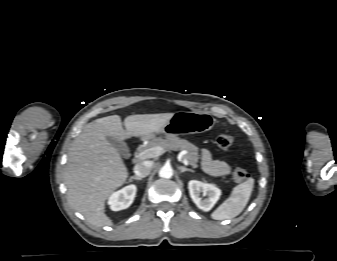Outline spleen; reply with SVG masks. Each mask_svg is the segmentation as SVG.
Masks as SVG:
<instances>
[{"mask_svg": "<svg viewBox=\"0 0 337 261\" xmlns=\"http://www.w3.org/2000/svg\"><path fill=\"white\" fill-rule=\"evenodd\" d=\"M253 187V178L235 186L230 196L211 214V217L215 220H224L238 216L246 207Z\"/></svg>", "mask_w": 337, "mask_h": 261, "instance_id": "obj_1", "label": "spleen"}]
</instances>
